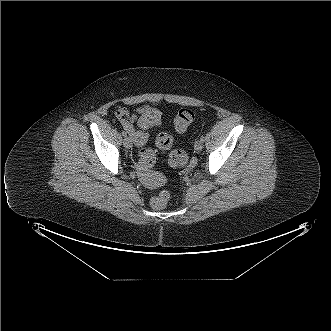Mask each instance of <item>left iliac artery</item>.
<instances>
[{
    "mask_svg": "<svg viewBox=\"0 0 331 331\" xmlns=\"http://www.w3.org/2000/svg\"><path fill=\"white\" fill-rule=\"evenodd\" d=\"M200 140H201L202 142L204 141V136H203V135L200 136Z\"/></svg>",
    "mask_w": 331,
    "mask_h": 331,
    "instance_id": "44dca946",
    "label": "left iliac artery"
}]
</instances>
